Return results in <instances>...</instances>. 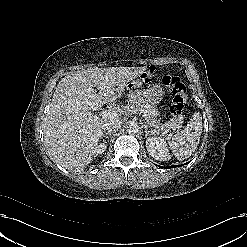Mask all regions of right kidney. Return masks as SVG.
<instances>
[{
	"instance_id": "obj_1",
	"label": "right kidney",
	"mask_w": 247,
	"mask_h": 247,
	"mask_svg": "<svg viewBox=\"0 0 247 247\" xmlns=\"http://www.w3.org/2000/svg\"><path fill=\"white\" fill-rule=\"evenodd\" d=\"M106 148H107L106 142L101 143L100 145H98V146L96 147V149H95V155L104 153L105 150H106Z\"/></svg>"
}]
</instances>
